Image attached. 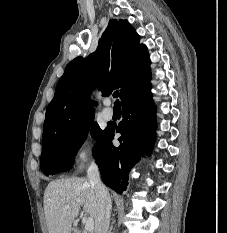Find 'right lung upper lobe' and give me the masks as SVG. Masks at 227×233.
Here are the masks:
<instances>
[{
    "label": "right lung upper lobe",
    "instance_id": "right-lung-upper-lobe-1",
    "mask_svg": "<svg viewBox=\"0 0 227 233\" xmlns=\"http://www.w3.org/2000/svg\"><path fill=\"white\" fill-rule=\"evenodd\" d=\"M150 85V59L139 35L126 20L112 19L97 50L86 58L72 60L57 83L46 110L42 144L93 121L90 91L105 94L120 88L121 103Z\"/></svg>",
    "mask_w": 227,
    "mask_h": 233
}]
</instances>
